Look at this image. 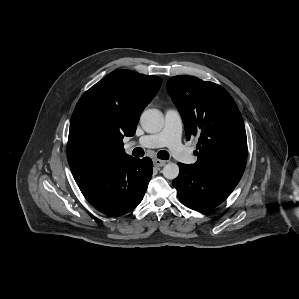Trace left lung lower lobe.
I'll return each instance as SVG.
<instances>
[{"label": "left lung lower lobe", "instance_id": "left-lung-lower-lobe-1", "mask_svg": "<svg viewBox=\"0 0 299 299\" xmlns=\"http://www.w3.org/2000/svg\"><path fill=\"white\" fill-rule=\"evenodd\" d=\"M178 165L180 172L172 184L177 189L180 201L193 210L205 211L218 206L236 186L195 170L191 165Z\"/></svg>", "mask_w": 299, "mask_h": 299}]
</instances>
